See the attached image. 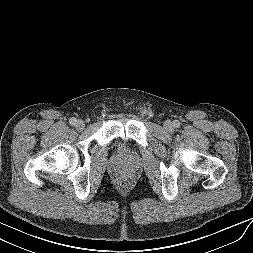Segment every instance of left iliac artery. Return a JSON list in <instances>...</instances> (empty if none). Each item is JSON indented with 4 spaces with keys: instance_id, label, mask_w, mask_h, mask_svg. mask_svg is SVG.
<instances>
[{
    "instance_id": "1",
    "label": "left iliac artery",
    "mask_w": 253,
    "mask_h": 253,
    "mask_svg": "<svg viewBox=\"0 0 253 253\" xmlns=\"http://www.w3.org/2000/svg\"><path fill=\"white\" fill-rule=\"evenodd\" d=\"M173 124H174V127H176V128H178V127L180 126V122L177 121V120H175V121L173 122Z\"/></svg>"
}]
</instances>
